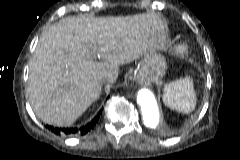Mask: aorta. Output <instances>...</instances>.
<instances>
[{"instance_id": "aorta-1", "label": "aorta", "mask_w": 240, "mask_h": 160, "mask_svg": "<svg viewBox=\"0 0 240 160\" xmlns=\"http://www.w3.org/2000/svg\"><path fill=\"white\" fill-rule=\"evenodd\" d=\"M137 102L144 124L149 128H155L159 122L160 112L154 94L148 89H140L137 94Z\"/></svg>"}]
</instances>
